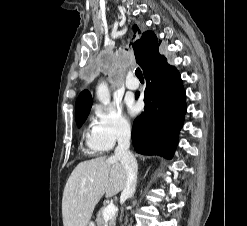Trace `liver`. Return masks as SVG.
Masks as SVG:
<instances>
[{
  "mask_svg": "<svg viewBox=\"0 0 247 226\" xmlns=\"http://www.w3.org/2000/svg\"><path fill=\"white\" fill-rule=\"evenodd\" d=\"M126 180L125 168L114 157H97L79 163L64 188L63 225L87 226L103 195L109 198L118 194Z\"/></svg>",
  "mask_w": 247,
  "mask_h": 226,
  "instance_id": "obj_1",
  "label": "liver"
}]
</instances>
